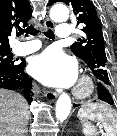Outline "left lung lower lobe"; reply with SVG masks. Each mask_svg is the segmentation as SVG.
<instances>
[{
  "instance_id": "0a47b994",
  "label": "left lung lower lobe",
  "mask_w": 117,
  "mask_h": 136,
  "mask_svg": "<svg viewBox=\"0 0 117 136\" xmlns=\"http://www.w3.org/2000/svg\"><path fill=\"white\" fill-rule=\"evenodd\" d=\"M98 99L107 102L108 104H113V99L110 93V88L108 85L104 84L103 82L98 83ZM74 106H78L75 105Z\"/></svg>"
}]
</instances>
